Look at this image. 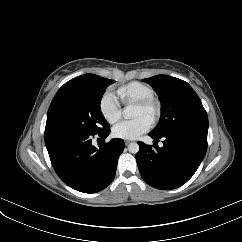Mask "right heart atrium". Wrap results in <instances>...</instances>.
<instances>
[{"mask_svg": "<svg viewBox=\"0 0 242 242\" xmlns=\"http://www.w3.org/2000/svg\"><path fill=\"white\" fill-rule=\"evenodd\" d=\"M100 112L104 119L114 124L122 117V109L119 101L112 93H106L100 100Z\"/></svg>", "mask_w": 242, "mask_h": 242, "instance_id": "obj_1", "label": "right heart atrium"}]
</instances>
